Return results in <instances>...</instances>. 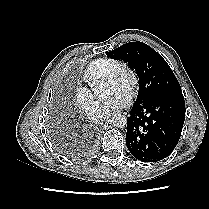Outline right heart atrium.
I'll return each mask as SVG.
<instances>
[{"label":"right heart atrium","instance_id":"obj_1","mask_svg":"<svg viewBox=\"0 0 209 209\" xmlns=\"http://www.w3.org/2000/svg\"><path fill=\"white\" fill-rule=\"evenodd\" d=\"M76 107L88 118L96 119L100 116V104L90 89L79 87L73 96Z\"/></svg>","mask_w":209,"mask_h":209}]
</instances>
